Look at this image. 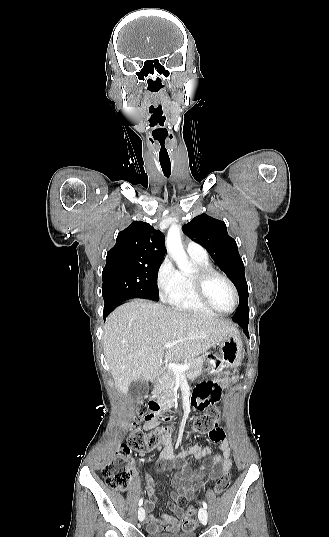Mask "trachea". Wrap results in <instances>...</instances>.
<instances>
[{"instance_id":"obj_1","label":"trachea","mask_w":329,"mask_h":537,"mask_svg":"<svg viewBox=\"0 0 329 537\" xmlns=\"http://www.w3.org/2000/svg\"><path fill=\"white\" fill-rule=\"evenodd\" d=\"M161 168H162V171L165 175V177H169L170 174H171V164L170 163H161Z\"/></svg>"}]
</instances>
